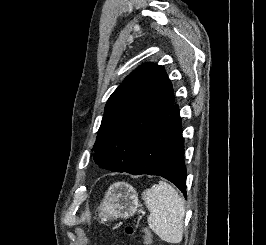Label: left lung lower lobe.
<instances>
[{
    "label": "left lung lower lobe",
    "mask_w": 266,
    "mask_h": 245,
    "mask_svg": "<svg viewBox=\"0 0 266 245\" xmlns=\"http://www.w3.org/2000/svg\"><path fill=\"white\" fill-rule=\"evenodd\" d=\"M125 172L162 176L186 197L184 140L178 105L173 104L141 138L135 157Z\"/></svg>",
    "instance_id": "0a47b994"
}]
</instances>
